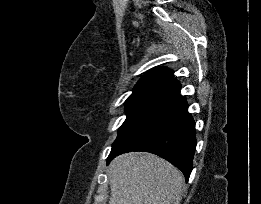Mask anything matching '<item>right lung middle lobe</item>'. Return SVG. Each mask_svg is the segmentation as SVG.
<instances>
[{"label": "right lung middle lobe", "mask_w": 261, "mask_h": 204, "mask_svg": "<svg viewBox=\"0 0 261 204\" xmlns=\"http://www.w3.org/2000/svg\"><path fill=\"white\" fill-rule=\"evenodd\" d=\"M169 95L156 93L132 94L125 101L127 118L118 130L113 146L150 115ZM112 146V147H113Z\"/></svg>", "instance_id": "right-lung-middle-lobe-1"}]
</instances>
